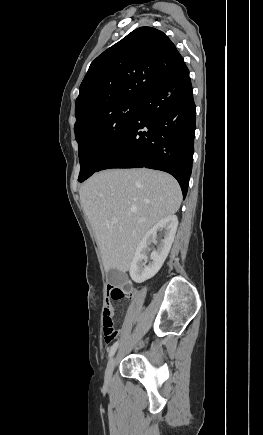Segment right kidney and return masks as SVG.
<instances>
[{
	"instance_id": "right-kidney-1",
	"label": "right kidney",
	"mask_w": 263,
	"mask_h": 435,
	"mask_svg": "<svg viewBox=\"0 0 263 435\" xmlns=\"http://www.w3.org/2000/svg\"><path fill=\"white\" fill-rule=\"evenodd\" d=\"M178 227V219L175 215H169L156 223L141 239L133 260L130 265V276L137 282L141 283L152 278L162 267L166 260ZM160 232L162 238L159 243L156 241L157 233ZM157 244L156 249L150 253L148 265V246Z\"/></svg>"
}]
</instances>
